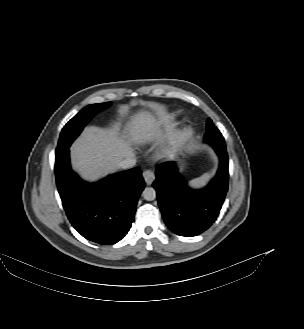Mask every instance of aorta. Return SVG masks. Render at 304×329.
<instances>
[{"mask_svg":"<svg viewBox=\"0 0 304 329\" xmlns=\"http://www.w3.org/2000/svg\"><path fill=\"white\" fill-rule=\"evenodd\" d=\"M142 196L147 201H152L156 198V191L152 187H147L143 190Z\"/></svg>","mask_w":304,"mask_h":329,"instance_id":"obj_1","label":"aorta"}]
</instances>
